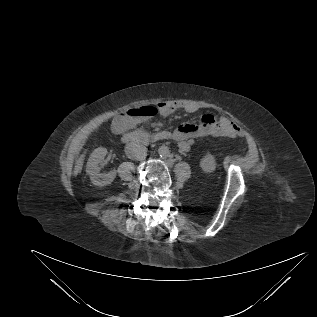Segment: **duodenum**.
I'll return each instance as SVG.
<instances>
[{
	"label": "duodenum",
	"instance_id": "410a0bca",
	"mask_svg": "<svg viewBox=\"0 0 317 317\" xmlns=\"http://www.w3.org/2000/svg\"><path fill=\"white\" fill-rule=\"evenodd\" d=\"M121 137L127 143L150 145L160 141L171 139L172 133L169 131H158L154 133L136 131V132H125L121 135Z\"/></svg>",
	"mask_w": 317,
	"mask_h": 317
}]
</instances>
